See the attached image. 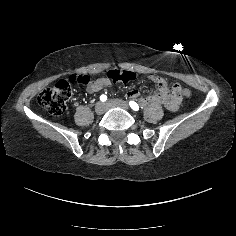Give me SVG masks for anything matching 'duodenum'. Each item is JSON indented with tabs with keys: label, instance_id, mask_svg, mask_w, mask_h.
Instances as JSON below:
<instances>
[{
	"label": "duodenum",
	"instance_id": "obj_1",
	"mask_svg": "<svg viewBox=\"0 0 236 236\" xmlns=\"http://www.w3.org/2000/svg\"><path fill=\"white\" fill-rule=\"evenodd\" d=\"M151 103H161L167 108L173 110L178 106V96L176 93L170 94L165 86H160V93L140 99V104L142 106H147Z\"/></svg>",
	"mask_w": 236,
	"mask_h": 236
}]
</instances>
